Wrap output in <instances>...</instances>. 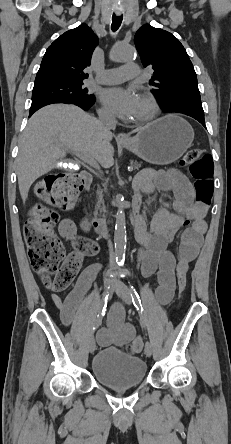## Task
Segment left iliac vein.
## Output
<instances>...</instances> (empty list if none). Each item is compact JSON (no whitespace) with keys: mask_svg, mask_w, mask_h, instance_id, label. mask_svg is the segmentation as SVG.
Here are the masks:
<instances>
[{"mask_svg":"<svg viewBox=\"0 0 231 444\" xmlns=\"http://www.w3.org/2000/svg\"><path fill=\"white\" fill-rule=\"evenodd\" d=\"M113 288L128 305L132 303L130 290L124 283L116 279L113 282ZM144 352L148 357L152 355V345L149 341H146L145 343Z\"/></svg>","mask_w":231,"mask_h":444,"instance_id":"4c4485c4","label":"left iliac vein"}]
</instances>
